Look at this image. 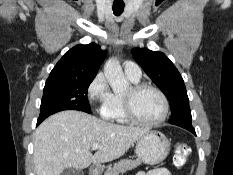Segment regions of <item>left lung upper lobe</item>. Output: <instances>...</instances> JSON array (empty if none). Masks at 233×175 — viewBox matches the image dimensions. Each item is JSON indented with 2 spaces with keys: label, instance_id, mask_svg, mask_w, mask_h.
<instances>
[{
  "label": "left lung upper lobe",
  "instance_id": "5c2ea615",
  "mask_svg": "<svg viewBox=\"0 0 233 175\" xmlns=\"http://www.w3.org/2000/svg\"><path fill=\"white\" fill-rule=\"evenodd\" d=\"M132 55L170 101L169 123L183 128L193 127L184 81L171 60L162 52L144 48H134Z\"/></svg>",
  "mask_w": 233,
  "mask_h": 175
}]
</instances>
